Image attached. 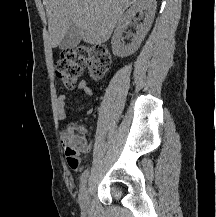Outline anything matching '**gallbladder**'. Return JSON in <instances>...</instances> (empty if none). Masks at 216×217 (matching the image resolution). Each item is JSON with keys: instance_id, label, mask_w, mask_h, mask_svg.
<instances>
[{"instance_id": "obj_1", "label": "gallbladder", "mask_w": 216, "mask_h": 217, "mask_svg": "<svg viewBox=\"0 0 216 217\" xmlns=\"http://www.w3.org/2000/svg\"><path fill=\"white\" fill-rule=\"evenodd\" d=\"M81 37L78 32V28L74 25L71 24L59 43V48L60 49H73L75 48L79 43H80Z\"/></svg>"}]
</instances>
